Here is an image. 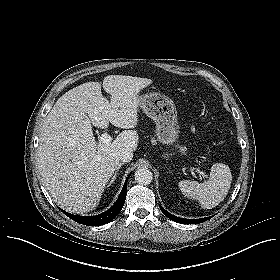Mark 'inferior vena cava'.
<instances>
[{"mask_svg":"<svg viewBox=\"0 0 280 280\" xmlns=\"http://www.w3.org/2000/svg\"><path fill=\"white\" fill-rule=\"evenodd\" d=\"M133 158V153L131 151H122L119 155V160L122 163L130 162Z\"/></svg>","mask_w":280,"mask_h":280,"instance_id":"inferior-vena-cava-1","label":"inferior vena cava"}]
</instances>
